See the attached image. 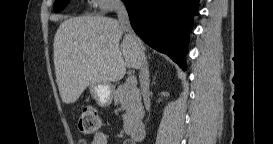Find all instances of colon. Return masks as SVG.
Listing matches in <instances>:
<instances>
[{"label":"colon","instance_id":"5ec220e1","mask_svg":"<svg viewBox=\"0 0 273 144\" xmlns=\"http://www.w3.org/2000/svg\"><path fill=\"white\" fill-rule=\"evenodd\" d=\"M102 125L101 116L93 106H86L82 109L78 118V130L84 135H92L99 132Z\"/></svg>","mask_w":273,"mask_h":144}]
</instances>
